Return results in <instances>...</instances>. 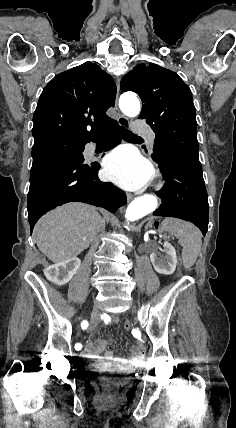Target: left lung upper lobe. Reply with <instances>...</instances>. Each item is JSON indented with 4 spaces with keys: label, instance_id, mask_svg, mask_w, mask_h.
Returning <instances> with one entry per match:
<instances>
[{
    "label": "left lung upper lobe",
    "instance_id": "obj_1",
    "mask_svg": "<svg viewBox=\"0 0 236 428\" xmlns=\"http://www.w3.org/2000/svg\"><path fill=\"white\" fill-rule=\"evenodd\" d=\"M120 88L141 98L139 118L156 134L153 157L158 164L167 154L199 162L192 93L175 72L153 63L139 64L122 78Z\"/></svg>",
    "mask_w": 236,
    "mask_h": 428
}]
</instances>
